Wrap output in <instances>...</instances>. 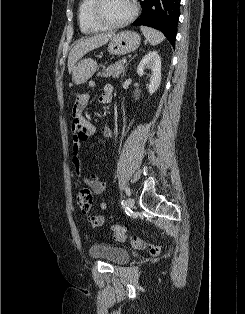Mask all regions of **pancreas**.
Masks as SVG:
<instances>
[{"label": "pancreas", "mask_w": 245, "mask_h": 314, "mask_svg": "<svg viewBox=\"0 0 245 314\" xmlns=\"http://www.w3.org/2000/svg\"><path fill=\"white\" fill-rule=\"evenodd\" d=\"M125 67L122 63V60L110 65L109 67L105 68L102 73H98L99 76L108 78H119L122 73H124Z\"/></svg>", "instance_id": "1"}]
</instances>
